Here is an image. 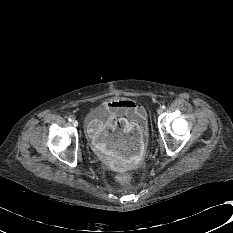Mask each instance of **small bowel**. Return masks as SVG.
Here are the masks:
<instances>
[{
    "instance_id": "c3829d8e",
    "label": "small bowel",
    "mask_w": 233,
    "mask_h": 233,
    "mask_svg": "<svg viewBox=\"0 0 233 233\" xmlns=\"http://www.w3.org/2000/svg\"><path fill=\"white\" fill-rule=\"evenodd\" d=\"M105 107L111 113L109 122L118 119L124 124V128L104 130L102 121H92L88 132L93 143L103 153L124 163L137 162L142 156L145 137L143 131L135 125L144 121L146 117L144 106L131 99L119 98L107 100ZM122 115H125L129 122L121 117Z\"/></svg>"
}]
</instances>
